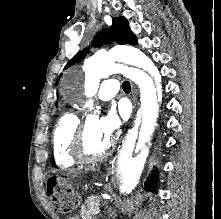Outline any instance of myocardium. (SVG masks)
<instances>
[{
    "label": "myocardium",
    "instance_id": "f54148a6",
    "mask_svg": "<svg viewBox=\"0 0 221 219\" xmlns=\"http://www.w3.org/2000/svg\"><path fill=\"white\" fill-rule=\"evenodd\" d=\"M85 131L86 122H80L71 145V156L75 159V161L77 163L86 164L96 162L107 157L113 149L114 141L110 140L106 148L101 153L88 155L84 150Z\"/></svg>",
    "mask_w": 221,
    "mask_h": 219
}]
</instances>
